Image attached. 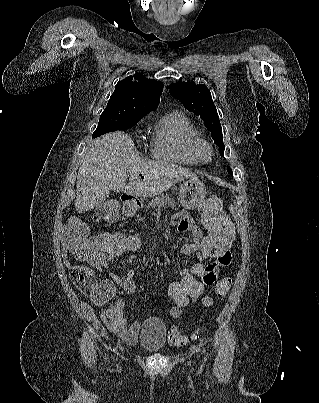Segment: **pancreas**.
I'll return each instance as SVG.
<instances>
[{"instance_id": "cf45deb5", "label": "pancreas", "mask_w": 319, "mask_h": 403, "mask_svg": "<svg viewBox=\"0 0 319 403\" xmlns=\"http://www.w3.org/2000/svg\"><path fill=\"white\" fill-rule=\"evenodd\" d=\"M157 206L158 208H164L165 206H169L172 209L178 210V202L172 198L169 194H161L159 196L154 197L148 204V208H153Z\"/></svg>"}]
</instances>
